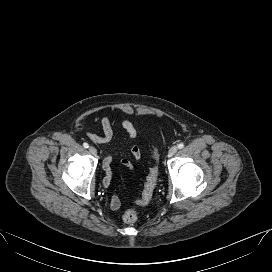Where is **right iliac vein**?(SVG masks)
Here are the masks:
<instances>
[{
	"instance_id": "63e3f726",
	"label": "right iliac vein",
	"mask_w": 272,
	"mask_h": 272,
	"mask_svg": "<svg viewBox=\"0 0 272 272\" xmlns=\"http://www.w3.org/2000/svg\"><path fill=\"white\" fill-rule=\"evenodd\" d=\"M88 150H89V152H90L92 155H94V156L97 154V150H96V148L93 147V146H90V147L88 148Z\"/></svg>"
}]
</instances>
